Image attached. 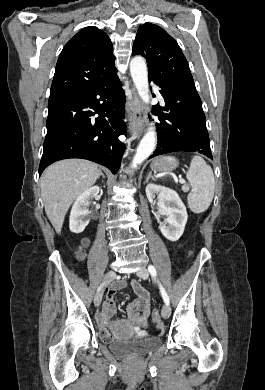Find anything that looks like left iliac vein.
<instances>
[{
  "label": "left iliac vein",
  "mask_w": 265,
  "mask_h": 390,
  "mask_svg": "<svg viewBox=\"0 0 265 390\" xmlns=\"http://www.w3.org/2000/svg\"><path fill=\"white\" fill-rule=\"evenodd\" d=\"M137 275H138L140 278H142V279H147L149 273H148V270H147L145 267H143V268H141V269H139V270L137 271ZM170 313H171V308H170V306L167 305V304H165V305L163 306V308H162V311H161L162 317L166 319V318H168V317L170 316Z\"/></svg>",
  "instance_id": "4c4485c4"
}]
</instances>
